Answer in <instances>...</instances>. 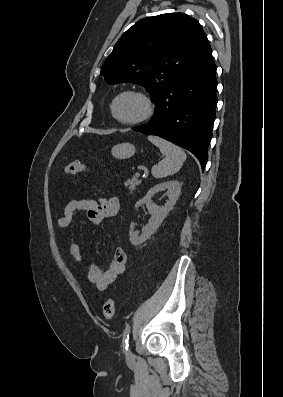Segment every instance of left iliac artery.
I'll return each mask as SVG.
<instances>
[{"instance_id": "left-iliac-artery-1", "label": "left iliac artery", "mask_w": 283, "mask_h": 397, "mask_svg": "<svg viewBox=\"0 0 283 397\" xmlns=\"http://www.w3.org/2000/svg\"><path fill=\"white\" fill-rule=\"evenodd\" d=\"M129 333H130V325H127L123 332V339H122L123 350L125 353H127L129 350Z\"/></svg>"}]
</instances>
